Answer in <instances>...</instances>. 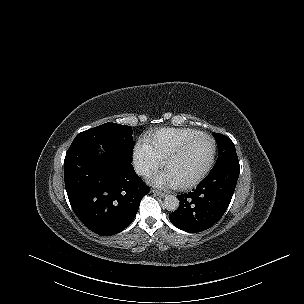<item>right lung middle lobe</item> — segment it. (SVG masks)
<instances>
[{
    "label": "right lung middle lobe",
    "mask_w": 304,
    "mask_h": 304,
    "mask_svg": "<svg viewBox=\"0 0 304 304\" xmlns=\"http://www.w3.org/2000/svg\"><path fill=\"white\" fill-rule=\"evenodd\" d=\"M132 133L131 126L108 122L79 133L73 142L91 141L105 145L123 161L131 163L134 148Z\"/></svg>",
    "instance_id": "obj_1"
}]
</instances>
